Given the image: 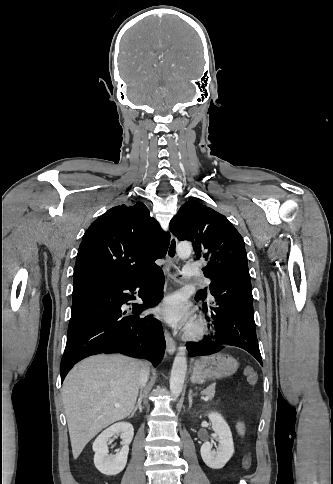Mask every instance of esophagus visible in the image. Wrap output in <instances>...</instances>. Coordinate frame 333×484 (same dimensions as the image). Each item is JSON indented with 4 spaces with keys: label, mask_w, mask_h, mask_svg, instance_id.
<instances>
[{
    "label": "esophagus",
    "mask_w": 333,
    "mask_h": 484,
    "mask_svg": "<svg viewBox=\"0 0 333 484\" xmlns=\"http://www.w3.org/2000/svg\"><path fill=\"white\" fill-rule=\"evenodd\" d=\"M176 246H177V239L174 236H172L167 250V264L165 266V272L167 275L170 274V271H169L170 265L177 260ZM164 335H165L167 352L170 355H173L174 352L176 351V343L166 329L164 331Z\"/></svg>",
    "instance_id": "obj_1"
}]
</instances>
